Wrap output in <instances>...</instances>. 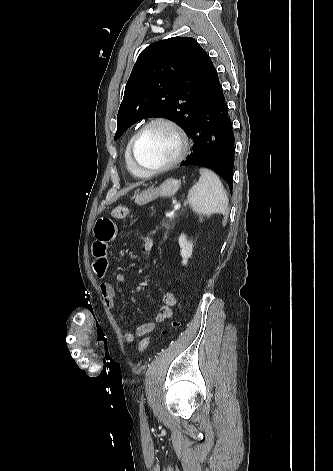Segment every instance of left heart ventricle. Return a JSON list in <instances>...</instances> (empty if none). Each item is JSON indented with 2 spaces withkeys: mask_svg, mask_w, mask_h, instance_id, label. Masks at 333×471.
<instances>
[{
  "mask_svg": "<svg viewBox=\"0 0 333 471\" xmlns=\"http://www.w3.org/2000/svg\"><path fill=\"white\" fill-rule=\"evenodd\" d=\"M178 150L179 142L175 133L167 126L157 124L141 137L136 157L142 166L152 168L171 161Z\"/></svg>",
  "mask_w": 333,
  "mask_h": 471,
  "instance_id": "b2bd125f",
  "label": "left heart ventricle"
}]
</instances>
